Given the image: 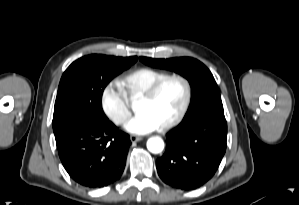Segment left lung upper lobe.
Instances as JSON below:
<instances>
[{"mask_svg":"<svg viewBox=\"0 0 299 205\" xmlns=\"http://www.w3.org/2000/svg\"><path fill=\"white\" fill-rule=\"evenodd\" d=\"M140 60L152 67L175 71L188 79L192 87V98L183 120L192 121L209 113L223 110L215 79L200 61L190 57L171 59L140 57Z\"/></svg>","mask_w":299,"mask_h":205,"instance_id":"obj_1","label":"left lung upper lobe"}]
</instances>
